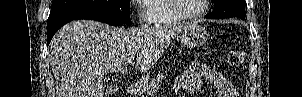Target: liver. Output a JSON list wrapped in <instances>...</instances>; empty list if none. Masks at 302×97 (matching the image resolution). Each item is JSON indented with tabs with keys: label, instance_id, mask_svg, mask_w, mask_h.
<instances>
[{
	"label": "liver",
	"instance_id": "liver-1",
	"mask_svg": "<svg viewBox=\"0 0 302 97\" xmlns=\"http://www.w3.org/2000/svg\"><path fill=\"white\" fill-rule=\"evenodd\" d=\"M183 25L111 27L77 20L63 26L49 45L48 59L56 79V97H103L104 74H127L129 57L148 71L163 55Z\"/></svg>",
	"mask_w": 302,
	"mask_h": 97
}]
</instances>
